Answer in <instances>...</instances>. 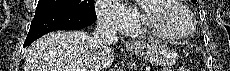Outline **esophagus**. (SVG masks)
<instances>
[{"instance_id":"esophagus-1","label":"esophagus","mask_w":230,"mask_h":71,"mask_svg":"<svg viewBox=\"0 0 230 71\" xmlns=\"http://www.w3.org/2000/svg\"><path fill=\"white\" fill-rule=\"evenodd\" d=\"M134 45H138V43H134Z\"/></svg>"}]
</instances>
